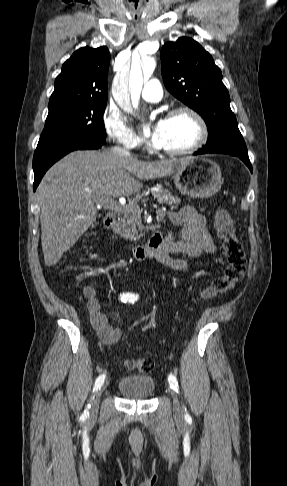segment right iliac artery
<instances>
[{"instance_id":"82829eb1","label":"right iliac artery","mask_w":287,"mask_h":486,"mask_svg":"<svg viewBox=\"0 0 287 486\" xmlns=\"http://www.w3.org/2000/svg\"><path fill=\"white\" fill-rule=\"evenodd\" d=\"M135 298H137V295L132 294V293H126V294L121 295V301H123L124 303L128 302L131 299H135ZM104 380H105V375L104 374L103 375H99L97 377V379L95 381V384H94V387H93V392H95L98 389H100V387L102 386ZM89 409H90V404L88 405L87 409L84 412V415L85 416H88L89 415Z\"/></svg>"}]
</instances>
